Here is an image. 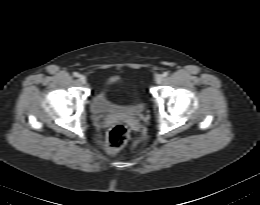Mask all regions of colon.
Instances as JSON below:
<instances>
[{
    "mask_svg": "<svg viewBox=\"0 0 260 205\" xmlns=\"http://www.w3.org/2000/svg\"><path fill=\"white\" fill-rule=\"evenodd\" d=\"M127 139L128 130L121 123L113 125L105 135V143L111 153L119 152L125 146Z\"/></svg>",
    "mask_w": 260,
    "mask_h": 205,
    "instance_id": "obj_1",
    "label": "colon"
}]
</instances>
